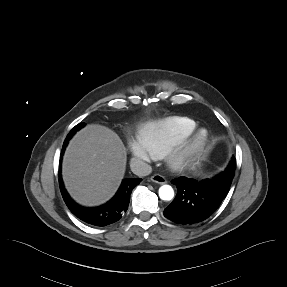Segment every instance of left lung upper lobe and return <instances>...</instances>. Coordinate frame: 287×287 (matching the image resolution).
<instances>
[{
    "label": "left lung upper lobe",
    "instance_id": "left-lung-upper-lobe-1",
    "mask_svg": "<svg viewBox=\"0 0 287 287\" xmlns=\"http://www.w3.org/2000/svg\"><path fill=\"white\" fill-rule=\"evenodd\" d=\"M235 164V158H232V162H230V165Z\"/></svg>",
    "mask_w": 287,
    "mask_h": 287
}]
</instances>
